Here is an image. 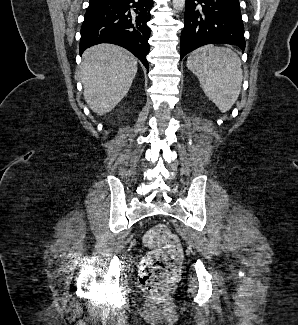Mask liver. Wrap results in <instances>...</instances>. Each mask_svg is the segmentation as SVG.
Listing matches in <instances>:
<instances>
[{
	"instance_id": "liver-1",
	"label": "liver",
	"mask_w": 298,
	"mask_h": 325,
	"mask_svg": "<svg viewBox=\"0 0 298 325\" xmlns=\"http://www.w3.org/2000/svg\"><path fill=\"white\" fill-rule=\"evenodd\" d=\"M82 58L84 98L89 108L102 116L127 94L137 72V58L116 44H95Z\"/></svg>"
}]
</instances>
